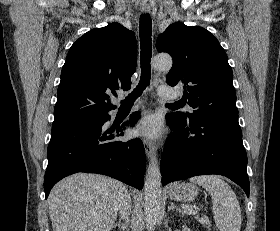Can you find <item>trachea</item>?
<instances>
[{
	"label": "trachea",
	"instance_id": "1",
	"mask_svg": "<svg viewBox=\"0 0 280 231\" xmlns=\"http://www.w3.org/2000/svg\"><path fill=\"white\" fill-rule=\"evenodd\" d=\"M151 35H152V20L148 13H144L140 17V25H139V36H140V62H141V78L139 81L138 86L134 89L129 96L121 102V106L124 105H131L133 104L134 100L141 96L143 90L148 87L150 84L151 78V68L150 62L152 57V42H151ZM172 109L181 108L182 105L176 103H172L168 105Z\"/></svg>",
	"mask_w": 280,
	"mask_h": 231
}]
</instances>
